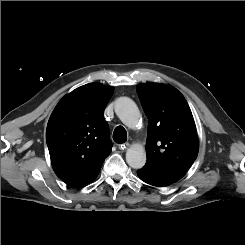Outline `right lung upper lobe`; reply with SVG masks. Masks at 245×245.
Segmentation results:
<instances>
[{
  "label": "right lung upper lobe",
  "instance_id": "obj_1",
  "mask_svg": "<svg viewBox=\"0 0 245 245\" xmlns=\"http://www.w3.org/2000/svg\"><path fill=\"white\" fill-rule=\"evenodd\" d=\"M112 94L109 86L86 84L64 96L50 116L46 141L52 167L70 186L92 182L111 152L102 113Z\"/></svg>",
  "mask_w": 245,
  "mask_h": 245
}]
</instances>
